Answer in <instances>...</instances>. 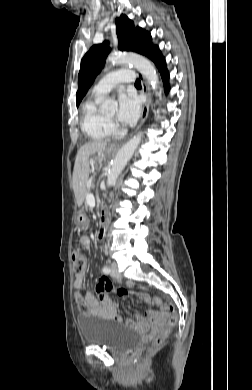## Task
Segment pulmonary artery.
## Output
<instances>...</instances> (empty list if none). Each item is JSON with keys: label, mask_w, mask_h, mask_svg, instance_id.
<instances>
[{"label": "pulmonary artery", "mask_w": 252, "mask_h": 390, "mask_svg": "<svg viewBox=\"0 0 252 390\" xmlns=\"http://www.w3.org/2000/svg\"><path fill=\"white\" fill-rule=\"evenodd\" d=\"M135 73L128 69H117L106 74L92 89L93 96L102 97L119 83L133 82Z\"/></svg>", "instance_id": "1"}]
</instances>
